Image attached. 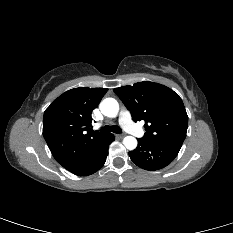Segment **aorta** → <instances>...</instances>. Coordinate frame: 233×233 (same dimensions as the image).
<instances>
[{"label":"aorta","mask_w":233,"mask_h":233,"mask_svg":"<svg viewBox=\"0 0 233 233\" xmlns=\"http://www.w3.org/2000/svg\"><path fill=\"white\" fill-rule=\"evenodd\" d=\"M100 110L103 115L115 118L119 112V104L114 98H106L100 103ZM123 144L128 150H134L137 147V139L133 136H126Z\"/></svg>","instance_id":"obj_1"}]
</instances>
